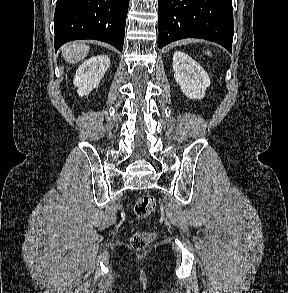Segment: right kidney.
Returning <instances> with one entry per match:
<instances>
[{"mask_svg": "<svg viewBox=\"0 0 288 293\" xmlns=\"http://www.w3.org/2000/svg\"><path fill=\"white\" fill-rule=\"evenodd\" d=\"M110 66V59L106 55L91 57L84 61L77 69L73 84L78 87V95L83 97L98 87L102 77Z\"/></svg>", "mask_w": 288, "mask_h": 293, "instance_id": "ca27d5eb", "label": "right kidney"}]
</instances>
